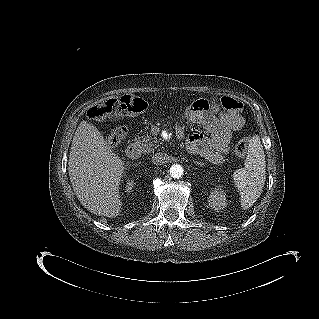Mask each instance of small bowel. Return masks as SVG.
<instances>
[{
	"mask_svg": "<svg viewBox=\"0 0 319 319\" xmlns=\"http://www.w3.org/2000/svg\"><path fill=\"white\" fill-rule=\"evenodd\" d=\"M244 124L242 116L236 112L217 113L211 111L204 123L210 132V137L203 134H193L187 140V148L192 153H200L212 162L222 161L229 151L232 132L240 130ZM178 136L183 134L182 127L176 128Z\"/></svg>",
	"mask_w": 319,
	"mask_h": 319,
	"instance_id": "small-bowel-1",
	"label": "small bowel"
}]
</instances>
